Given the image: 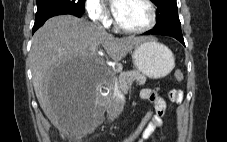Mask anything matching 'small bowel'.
<instances>
[{
	"instance_id": "obj_1",
	"label": "small bowel",
	"mask_w": 227,
	"mask_h": 142,
	"mask_svg": "<svg viewBox=\"0 0 227 142\" xmlns=\"http://www.w3.org/2000/svg\"><path fill=\"white\" fill-rule=\"evenodd\" d=\"M141 97L154 104L156 117L144 131L138 142H154V135L162 125V118L166 111V103L157 89L145 88L141 91ZM168 97L171 102L181 103L183 100V92L181 90L172 89L170 90Z\"/></svg>"
}]
</instances>
